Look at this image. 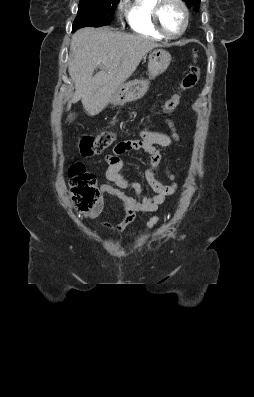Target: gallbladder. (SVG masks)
Masks as SVG:
<instances>
[{
    "instance_id": "obj_1",
    "label": "gallbladder",
    "mask_w": 254,
    "mask_h": 397,
    "mask_svg": "<svg viewBox=\"0 0 254 397\" xmlns=\"http://www.w3.org/2000/svg\"><path fill=\"white\" fill-rule=\"evenodd\" d=\"M74 117H75V114H70V115L68 116V119H69V120H73Z\"/></svg>"
}]
</instances>
